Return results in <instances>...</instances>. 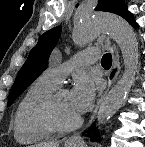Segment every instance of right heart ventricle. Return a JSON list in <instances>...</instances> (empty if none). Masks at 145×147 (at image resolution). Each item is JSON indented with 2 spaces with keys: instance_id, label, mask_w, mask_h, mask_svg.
<instances>
[{
  "instance_id": "1",
  "label": "right heart ventricle",
  "mask_w": 145,
  "mask_h": 147,
  "mask_svg": "<svg viewBox=\"0 0 145 147\" xmlns=\"http://www.w3.org/2000/svg\"><path fill=\"white\" fill-rule=\"evenodd\" d=\"M59 84L44 74L37 77L27 88L17 104L13 116L15 138L22 143H36L51 138L56 131L44 120L39 103Z\"/></svg>"
}]
</instances>
